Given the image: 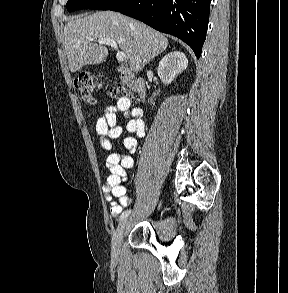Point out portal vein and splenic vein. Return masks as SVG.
<instances>
[{
    "instance_id": "18ae733b",
    "label": "portal vein and splenic vein",
    "mask_w": 288,
    "mask_h": 293,
    "mask_svg": "<svg viewBox=\"0 0 288 293\" xmlns=\"http://www.w3.org/2000/svg\"><path fill=\"white\" fill-rule=\"evenodd\" d=\"M88 40L94 41L93 38H88ZM97 42L102 45H109L112 48H114L115 50H117L116 58L118 61H120V62L126 61V59H127L126 54L124 52L118 50V45H117L116 41H114L113 39L101 38V39H98Z\"/></svg>"
}]
</instances>
